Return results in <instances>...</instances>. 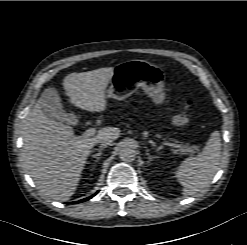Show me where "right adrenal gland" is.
<instances>
[{"mask_svg":"<svg viewBox=\"0 0 247 245\" xmlns=\"http://www.w3.org/2000/svg\"><path fill=\"white\" fill-rule=\"evenodd\" d=\"M105 146H100L98 152L93 155L94 158H96L95 162L97 163L101 159L102 151L105 149Z\"/></svg>","mask_w":247,"mask_h":245,"instance_id":"obj_1","label":"right adrenal gland"}]
</instances>
